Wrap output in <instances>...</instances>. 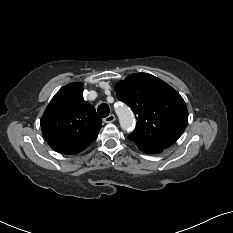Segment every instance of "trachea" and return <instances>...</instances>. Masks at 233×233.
Listing matches in <instances>:
<instances>
[{"label":"trachea","instance_id":"1","mask_svg":"<svg viewBox=\"0 0 233 233\" xmlns=\"http://www.w3.org/2000/svg\"><path fill=\"white\" fill-rule=\"evenodd\" d=\"M110 109L108 104L102 103L98 107V115L102 118H106L109 115Z\"/></svg>","mask_w":233,"mask_h":233}]
</instances>
